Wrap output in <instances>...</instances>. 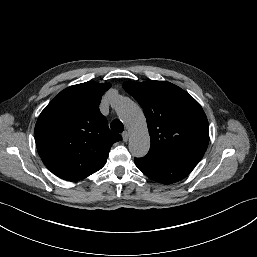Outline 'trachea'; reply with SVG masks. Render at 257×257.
<instances>
[{
  "instance_id": "1",
  "label": "trachea",
  "mask_w": 257,
  "mask_h": 257,
  "mask_svg": "<svg viewBox=\"0 0 257 257\" xmlns=\"http://www.w3.org/2000/svg\"><path fill=\"white\" fill-rule=\"evenodd\" d=\"M110 127L113 131L117 132V133H121L124 130V126L122 124V122L118 119H115L111 122Z\"/></svg>"
}]
</instances>
